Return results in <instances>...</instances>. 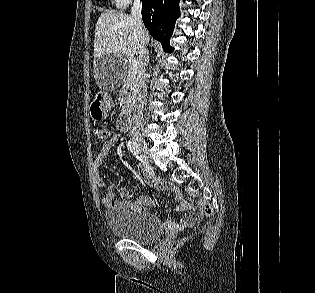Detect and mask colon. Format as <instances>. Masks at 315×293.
<instances>
[{"label": "colon", "instance_id": "obj_1", "mask_svg": "<svg viewBox=\"0 0 315 293\" xmlns=\"http://www.w3.org/2000/svg\"><path fill=\"white\" fill-rule=\"evenodd\" d=\"M94 136L98 140H105L108 137V132L104 127L97 126L93 130ZM200 210L205 215H211L213 213V207L207 202L200 203Z\"/></svg>", "mask_w": 315, "mask_h": 293}]
</instances>
